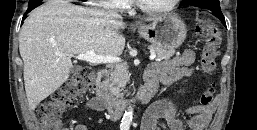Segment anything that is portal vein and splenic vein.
Here are the masks:
<instances>
[{"instance_id":"18ae733b","label":"portal vein and splenic vein","mask_w":257,"mask_h":130,"mask_svg":"<svg viewBox=\"0 0 257 130\" xmlns=\"http://www.w3.org/2000/svg\"><path fill=\"white\" fill-rule=\"evenodd\" d=\"M60 57H64V54H57ZM78 60L86 61L92 64H99V63H113V62H120L121 59L117 56H104V55H97L94 51H88L85 54H79L76 56ZM156 58V54L154 51H151V55L149 57L150 60H154Z\"/></svg>"}]
</instances>
